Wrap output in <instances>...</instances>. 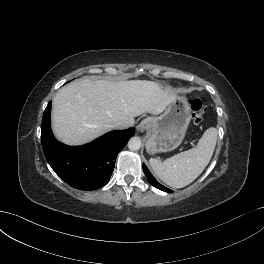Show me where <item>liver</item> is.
Returning <instances> with one entry per match:
<instances>
[{"instance_id": "liver-1", "label": "liver", "mask_w": 264, "mask_h": 264, "mask_svg": "<svg viewBox=\"0 0 264 264\" xmlns=\"http://www.w3.org/2000/svg\"><path fill=\"white\" fill-rule=\"evenodd\" d=\"M176 97L175 91L153 81L85 78L66 85L54 97L53 131L66 144H83L113 129L117 122L128 128L143 113L161 114Z\"/></svg>"}]
</instances>
